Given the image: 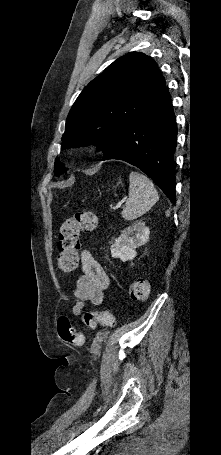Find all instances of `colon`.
Returning a JSON list of instances; mask_svg holds the SVG:
<instances>
[{"instance_id": "colon-1", "label": "colon", "mask_w": 221, "mask_h": 455, "mask_svg": "<svg viewBox=\"0 0 221 455\" xmlns=\"http://www.w3.org/2000/svg\"><path fill=\"white\" fill-rule=\"evenodd\" d=\"M98 226V218L94 212L81 211L67 218L59 231L58 267L64 273L73 272L79 262L80 234L94 231ZM132 300L144 302L149 298V283L145 279L135 280L129 287ZM82 320L88 327L97 324L111 325L112 315L108 311H87ZM57 330L60 338L69 345L80 346L84 343L83 333L76 331L66 316L59 317Z\"/></svg>"}]
</instances>
